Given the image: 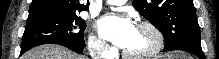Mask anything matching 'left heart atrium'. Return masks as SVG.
Returning <instances> with one entry per match:
<instances>
[{
	"label": "left heart atrium",
	"instance_id": "left-heart-atrium-1",
	"mask_svg": "<svg viewBox=\"0 0 219 59\" xmlns=\"http://www.w3.org/2000/svg\"><path fill=\"white\" fill-rule=\"evenodd\" d=\"M100 35L120 48H125L135 33L136 27L127 17L107 14L97 22Z\"/></svg>",
	"mask_w": 219,
	"mask_h": 59
}]
</instances>
